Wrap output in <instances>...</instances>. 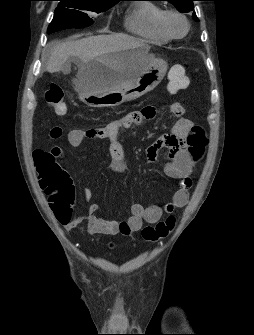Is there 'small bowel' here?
<instances>
[{"mask_svg":"<svg viewBox=\"0 0 254 335\" xmlns=\"http://www.w3.org/2000/svg\"><path fill=\"white\" fill-rule=\"evenodd\" d=\"M155 110L151 106L141 110L132 111L125 116L115 119L103 128L96 129H74L68 133V143L71 147L77 148L84 141L100 139L108 142L110 153L109 168L111 171L121 173L125 171V151L118 139L120 130L139 125L143 120L152 118ZM169 115L179 117L174 124L171 134L163 136L146 149V155L149 162L157 159L160 150L167 149L168 162L164 171L167 176L178 179L179 187L173 193L171 200L163 208L157 205L143 206L141 203L131 204V216L127 221L106 220L98 217L95 213L99 206L96 203H89L87 214L85 216H72V208L63 207L62 218H58L65 230L74 229L81 221L86 218L88 221V231L93 234H105L109 236L130 235L141 230L143 223H157L164 212L170 213L175 208L184 207L188 203L189 189L192 185L190 174L192 171V161L187 151V136L192 127V122L183 117L185 109L177 100L169 105ZM63 135L61 127L54 126L50 129L49 137L52 140H59ZM92 193L89 189L84 192V198L87 202L91 200ZM49 204L52 203L48 197Z\"/></svg>","mask_w":254,"mask_h":335,"instance_id":"c3829d8e","label":"small bowel"}]
</instances>
